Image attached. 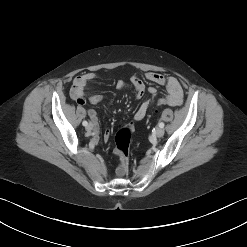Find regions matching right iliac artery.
Returning a JSON list of instances; mask_svg holds the SVG:
<instances>
[{"instance_id": "right-iliac-artery-1", "label": "right iliac artery", "mask_w": 247, "mask_h": 247, "mask_svg": "<svg viewBox=\"0 0 247 247\" xmlns=\"http://www.w3.org/2000/svg\"><path fill=\"white\" fill-rule=\"evenodd\" d=\"M82 124H83V126H87L88 122L87 121H83Z\"/></svg>"}]
</instances>
